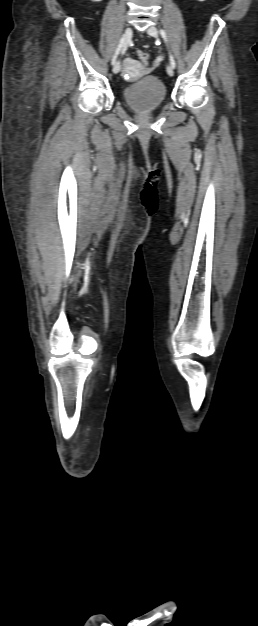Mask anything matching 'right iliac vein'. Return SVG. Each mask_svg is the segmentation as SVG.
Returning a JSON list of instances; mask_svg holds the SVG:
<instances>
[{
  "label": "right iliac vein",
  "mask_w": 258,
  "mask_h": 626,
  "mask_svg": "<svg viewBox=\"0 0 258 626\" xmlns=\"http://www.w3.org/2000/svg\"><path fill=\"white\" fill-rule=\"evenodd\" d=\"M132 34H133L132 28H130V27L126 28V30L124 31V34H123L124 45H123L122 52H124L126 50L128 44L130 43ZM120 68H121V65H120V62L118 61L117 63H115V65L113 67V73L117 74L120 71Z\"/></svg>",
  "instance_id": "right-iliac-vein-1"
}]
</instances>
